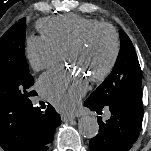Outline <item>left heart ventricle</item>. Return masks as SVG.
Wrapping results in <instances>:
<instances>
[{"mask_svg":"<svg viewBox=\"0 0 151 151\" xmlns=\"http://www.w3.org/2000/svg\"><path fill=\"white\" fill-rule=\"evenodd\" d=\"M111 54V37L107 32L101 31L91 38L84 49L72 54L69 57V61L90 77L105 68L111 58Z\"/></svg>","mask_w":151,"mask_h":151,"instance_id":"1","label":"left heart ventricle"}]
</instances>
